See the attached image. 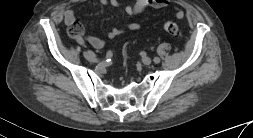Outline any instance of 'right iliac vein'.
<instances>
[{
    "label": "right iliac vein",
    "instance_id": "right-iliac-vein-1",
    "mask_svg": "<svg viewBox=\"0 0 253 138\" xmlns=\"http://www.w3.org/2000/svg\"><path fill=\"white\" fill-rule=\"evenodd\" d=\"M84 56L89 60V61H92V62H97L99 61V59L95 58V57H92L89 53H87L86 51L83 52Z\"/></svg>",
    "mask_w": 253,
    "mask_h": 138
}]
</instances>
